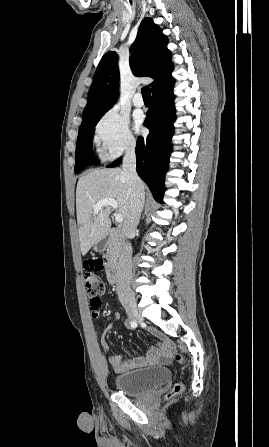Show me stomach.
Returning <instances> with one entry per match:
<instances>
[{
    "label": "stomach",
    "instance_id": "stomach-1",
    "mask_svg": "<svg viewBox=\"0 0 269 447\" xmlns=\"http://www.w3.org/2000/svg\"><path fill=\"white\" fill-rule=\"evenodd\" d=\"M106 247H107V241H104L103 245H100L99 241L98 243H94L93 245V249H95V251H104Z\"/></svg>",
    "mask_w": 269,
    "mask_h": 447
}]
</instances>
